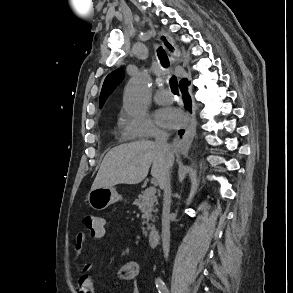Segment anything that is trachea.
<instances>
[{
    "mask_svg": "<svg viewBox=\"0 0 293 293\" xmlns=\"http://www.w3.org/2000/svg\"><path fill=\"white\" fill-rule=\"evenodd\" d=\"M158 57L160 59V62L163 67L167 68L169 66V59L167 57V54L162 48L158 49ZM170 88L173 93L178 94V82L177 78L175 76H172L170 79Z\"/></svg>",
    "mask_w": 293,
    "mask_h": 293,
    "instance_id": "trachea-1",
    "label": "trachea"
}]
</instances>
